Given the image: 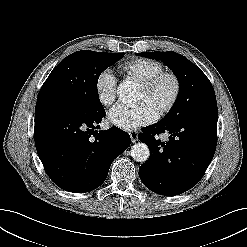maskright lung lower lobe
Returning a JSON list of instances; mask_svg holds the SVG:
<instances>
[{
    "instance_id": "98d812e1",
    "label": "right lung lower lobe",
    "mask_w": 247,
    "mask_h": 247,
    "mask_svg": "<svg viewBox=\"0 0 247 247\" xmlns=\"http://www.w3.org/2000/svg\"><path fill=\"white\" fill-rule=\"evenodd\" d=\"M104 116L105 112L87 113L57 98L37 100L36 150L47 175L60 188L74 193L98 188L113 160L129 147L130 136L121 129L95 130Z\"/></svg>"
}]
</instances>
